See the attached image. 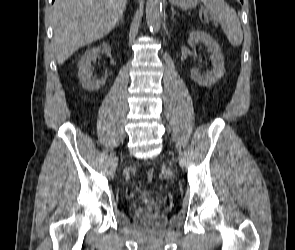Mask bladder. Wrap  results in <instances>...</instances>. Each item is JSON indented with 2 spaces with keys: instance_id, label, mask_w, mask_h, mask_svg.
<instances>
[{
  "instance_id": "31cf9c89",
  "label": "bladder",
  "mask_w": 295,
  "mask_h": 250,
  "mask_svg": "<svg viewBox=\"0 0 295 250\" xmlns=\"http://www.w3.org/2000/svg\"><path fill=\"white\" fill-rule=\"evenodd\" d=\"M156 198L157 197H156L155 193H153L150 190H146L140 196V201H141V203H144V204H150V203H153L154 201H156Z\"/></svg>"
}]
</instances>
